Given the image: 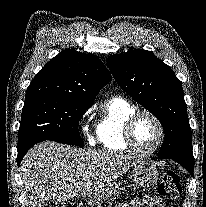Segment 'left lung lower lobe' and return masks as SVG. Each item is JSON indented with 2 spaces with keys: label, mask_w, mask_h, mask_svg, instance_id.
Wrapping results in <instances>:
<instances>
[{
  "label": "left lung lower lobe",
  "mask_w": 206,
  "mask_h": 207,
  "mask_svg": "<svg viewBox=\"0 0 206 207\" xmlns=\"http://www.w3.org/2000/svg\"><path fill=\"white\" fill-rule=\"evenodd\" d=\"M179 164H181L185 169H187L190 174L193 176V168L194 165L191 163H186V162H178Z\"/></svg>",
  "instance_id": "obj_1"
}]
</instances>
